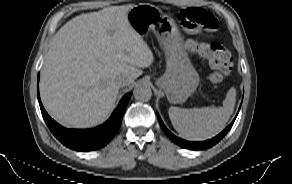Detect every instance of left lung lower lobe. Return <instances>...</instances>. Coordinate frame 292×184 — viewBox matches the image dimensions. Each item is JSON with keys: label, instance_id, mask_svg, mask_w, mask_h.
Instances as JSON below:
<instances>
[{"label": "left lung lower lobe", "instance_id": "0a47b994", "mask_svg": "<svg viewBox=\"0 0 292 184\" xmlns=\"http://www.w3.org/2000/svg\"><path fill=\"white\" fill-rule=\"evenodd\" d=\"M237 117V115H236ZM236 119V118H235ZM235 119L233 120V122L226 128L224 129L220 134H218L216 137L207 140V141H203V142H190V141H186L183 140L181 138H178L176 136H174L163 124L162 120L160 119V117L158 116V120L160 122V125L163 129V131L166 133V135L176 144H178L179 146H182L183 148H187V149H191V150H203L206 148H210L211 146L215 145L216 143H218L226 134L227 132L230 130V128L232 127Z\"/></svg>", "mask_w": 292, "mask_h": 184}]
</instances>
